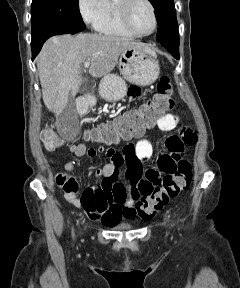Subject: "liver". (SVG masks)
Returning <instances> with one entry per match:
<instances>
[{"instance_id": "obj_1", "label": "liver", "mask_w": 240, "mask_h": 288, "mask_svg": "<svg viewBox=\"0 0 240 288\" xmlns=\"http://www.w3.org/2000/svg\"><path fill=\"white\" fill-rule=\"evenodd\" d=\"M127 48L149 47L124 37L99 34L61 35L48 39L36 61L45 106L60 115L75 96L82 83V65L90 61L93 77L108 75L118 57Z\"/></svg>"}]
</instances>
